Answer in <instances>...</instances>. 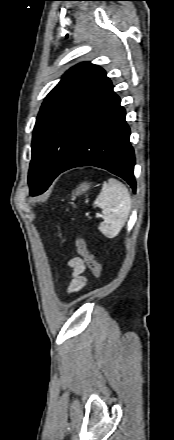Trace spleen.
I'll use <instances>...</instances> for the list:
<instances>
[{
  "instance_id": "3e777b00",
  "label": "spleen",
  "mask_w": 174,
  "mask_h": 440,
  "mask_svg": "<svg viewBox=\"0 0 174 440\" xmlns=\"http://www.w3.org/2000/svg\"><path fill=\"white\" fill-rule=\"evenodd\" d=\"M94 206L103 209V222L99 224V231L107 238H114L127 221L131 209V197L124 184L110 178L103 183Z\"/></svg>"
}]
</instances>
